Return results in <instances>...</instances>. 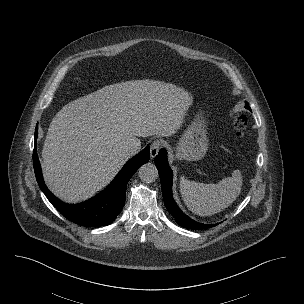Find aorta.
Segmentation results:
<instances>
[{"label":"aorta","instance_id":"obj_1","mask_svg":"<svg viewBox=\"0 0 304 304\" xmlns=\"http://www.w3.org/2000/svg\"><path fill=\"white\" fill-rule=\"evenodd\" d=\"M139 178L142 182L151 183L154 182L159 174L156 166L152 163H146L139 168Z\"/></svg>","mask_w":304,"mask_h":304}]
</instances>
